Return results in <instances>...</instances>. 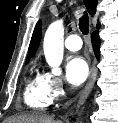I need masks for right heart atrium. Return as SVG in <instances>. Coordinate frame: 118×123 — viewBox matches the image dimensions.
Returning a JSON list of instances; mask_svg holds the SVG:
<instances>
[{"instance_id": "right-heart-atrium-1", "label": "right heart atrium", "mask_w": 118, "mask_h": 123, "mask_svg": "<svg viewBox=\"0 0 118 123\" xmlns=\"http://www.w3.org/2000/svg\"><path fill=\"white\" fill-rule=\"evenodd\" d=\"M46 92L52 102L58 101L65 96V88L62 79L51 72L44 71L41 74Z\"/></svg>"}]
</instances>
